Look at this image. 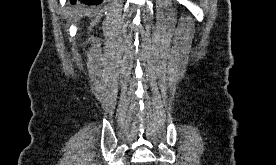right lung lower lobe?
I'll return each mask as SVG.
<instances>
[{"label": "right lung lower lobe", "mask_w": 276, "mask_h": 165, "mask_svg": "<svg viewBox=\"0 0 276 165\" xmlns=\"http://www.w3.org/2000/svg\"><path fill=\"white\" fill-rule=\"evenodd\" d=\"M71 4H76L78 2L84 3L86 5H97L102 2V0H70Z\"/></svg>", "instance_id": "1"}]
</instances>
